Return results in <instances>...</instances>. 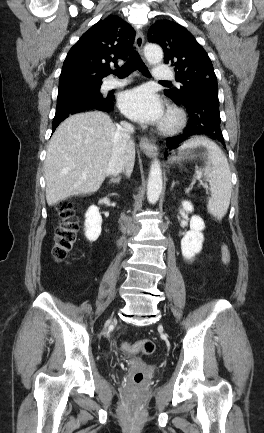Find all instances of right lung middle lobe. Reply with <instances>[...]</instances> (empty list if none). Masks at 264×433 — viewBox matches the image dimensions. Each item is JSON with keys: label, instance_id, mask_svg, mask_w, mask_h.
<instances>
[{"label": "right lung middle lobe", "instance_id": "right-lung-middle-lobe-1", "mask_svg": "<svg viewBox=\"0 0 264 433\" xmlns=\"http://www.w3.org/2000/svg\"><path fill=\"white\" fill-rule=\"evenodd\" d=\"M100 86H101V83L100 84H94V85H79V84H76V85H74V86H71V87H68V88H65V89H62V90H58V97H57V100H62L63 98H66V97H68L69 96V94H71L72 92H75V91H84V92H90V93H94V94H101L100 93ZM59 104H60V102H58ZM60 106H57V109L59 108Z\"/></svg>", "mask_w": 264, "mask_h": 433}]
</instances>
